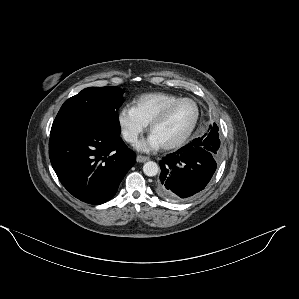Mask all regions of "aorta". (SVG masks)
Masks as SVG:
<instances>
[{
    "mask_svg": "<svg viewBox=\"0 0 299 299\" xmlns=\"http://www.w3.org/2000/svg\"><path fill=\"white\" fill-rule=\"evenodd\" d=\"M143 172L145 175L152 177L158 174L159 167L157 163L148 161L143 165Z\"/></svg>",
    "mask_w": 299,
    "mask_h": 299,
    "instance_id": "1",
    "label": "aorta"
}]
</instances>
